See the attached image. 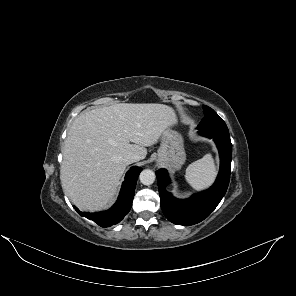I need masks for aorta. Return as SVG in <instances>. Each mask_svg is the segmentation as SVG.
Returning a JSON list of instances; mask_svg holds the SVG:
<instances>
[{
	"mask_svg": "<svg viewBox=\"0 0 296 296\" xmlns=\"http://www.w3.org/2000/svg\"><path fill=\"white\" fill-rule=\"evenodd\" d=\"M155 173L150 169H145L140 173V182L144 185H151L155 181Z\"/></svg>",
	"mask_w": 296,
	"mask_h": 296,
	"instance_id": "762f6f07",
	"label": "aorta"
}]
</instances>
